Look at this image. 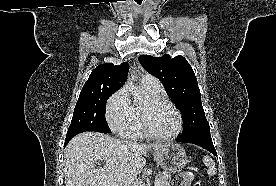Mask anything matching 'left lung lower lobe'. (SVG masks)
<instances>
[{
    "mask_svg": "<svg viewBox=\"0 0 276 186\" xmlns=\"http://www.w3.org/2000/svg\"><path fill=\"white\" fill-rule=\"evenodd\" d=\"M176 141L196 144L217 156L211 139L210 130H202L186 136H179L177 137Z\"/></svg>",
    "mask_w": 276,
    "mask_h": 186,
    "instance_id": "obj_1",
    "label": "left lung lower lobe"
}]
</instances>
